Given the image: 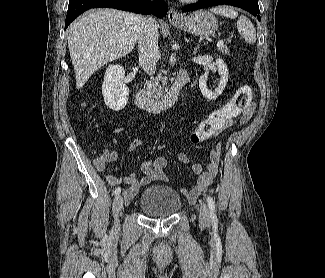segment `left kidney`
<instances>
[{
	"instance_id": "5707ae66",
	"label": "left kidney",
	"mask_w": 325,
	"mask_h": 278,
	"mask_svg": "<svg viewBox=\"0 0 325 278\" xmlns=\"http://www.w3.org/2000/svg\"><path fill=\"white\" fill-rule=\"evenodd\" d=\"M216 70L220 76L219 85L214 90H209L207 88V75L204 74L199 78V88L201 90L202 95L208 100H215L225 89V86L228 82V69L227 65L224 63L222 59L216 60Z\"/></svg>"
}]
</instances>
